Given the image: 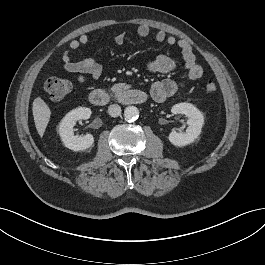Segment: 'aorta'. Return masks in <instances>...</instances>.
I'll return each instance as SVG.
<instances>
[{
    "label": "aorta",
    "instance_id": "aorta-1",
    "mask_svg": "<svg viewBox=\"0 0 265 265\" xmlns=\"http://www.w3.org/2000/svg\"><path fill=\"white\" fill-rule=\"evenodd\" d=\"M139 116V110L135 106H127L124 109V118L128 121H135Z\"/></svg>",
    "mask_w": 265,
    "mask_h": 265
}]
</instances>
